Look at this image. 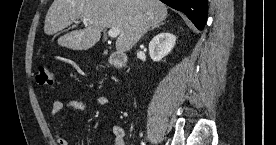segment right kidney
I'll list each match as a JSON object with an SVG mask.
<instances>
[{
  "instance_id": "right-kidney-1",
  "label": "right kidney",
  "mask_w": 276,
  "mask_h": 145,
  "mask_svg": "<svg viewBox=\"0 0 276 145\" xmlns=\"http://www.w3.org/2000/svg\"><path fill=\"white\" fill-rule=\"evenodd\" d=\"M176 43V36L162 32L157 34L149 43V55L153 61H160L168 55Z\"/></svg>"
}]
</instances>
